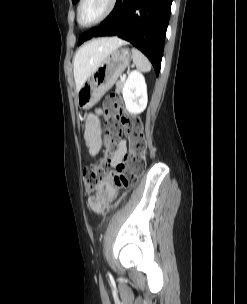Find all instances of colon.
<instances>
[{"mask_svg":"<svg viewBox=\"0 0 247 304\" xmlns=\"http://www.w3.org/2000/svg\"><path fill=\"white\" fill-rule=\"evenodd\" d=\"M105 108L103 155L95 164L83 171L85 189H97L96 194L89 199L95 211H102L114 199L119 189L133 187L146 165V140L140 119L125 113L121 100L114 94L106 98ZM121 132L129 139V151L116 170L106 176L110 154L116 148Z\"/></svg>","mask_w":247,"mask_h":304,"instance_id":"5ec220e1","label":"colon"}]
</instances>
